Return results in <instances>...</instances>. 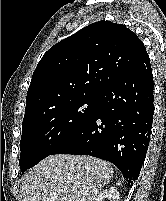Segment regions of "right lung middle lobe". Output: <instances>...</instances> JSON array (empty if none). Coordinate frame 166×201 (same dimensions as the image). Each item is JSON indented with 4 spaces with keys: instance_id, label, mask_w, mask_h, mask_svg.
Instances as JSON below:
<instances>
[{
    "instance_id": "dd1d6c3e",
    "label": "right lung middle lobe",
    "mask_w": 166,
    "mask_h": 201,
    "mask_svg": "<svg viewBox=\"0 0 166 201\" xmlns=\"http://www.w3.org/2000/svg\"><path fill=\"white\" fill-rule=\"evenodd\" d=\"M98 96H84L34 116L24 117L20 142L21 171L49 156L93 115Z\"/></svg>"
}]
</instances>
